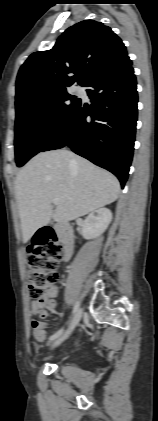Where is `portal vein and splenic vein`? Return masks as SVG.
Returning a JSON list of instances; mask_svg holds the SVG:
<instances>
[{
	"label": "portal vein and splenic vein",
	"instance_id": "1",
	"mask_svg": "<svg viewBox=\"0 0 158 421\" xmlns=\"http://www.w3.org/2000/svg\"><path fill=\"white\" fill-rule=\"evenodd\" d=\"M54 205L58 206L59 205V201L57 199L53 200Z\"/></svg>",
	"mask_w": 158,
	"mask_h": 421
}]
</instances>
